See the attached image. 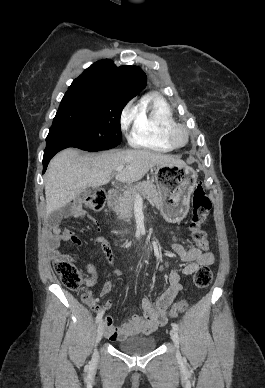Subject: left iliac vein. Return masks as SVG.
<instances>
[{"mask_svg":"<svg viewBox=\"0 0 265 388\" xmlns=\"http://www.w3.org/2000/svg\"><path fill=\"white\" fill-rule=\"evenodd\" d=\"M170 336H171V339L175 345V348L177 349V356H179V352H178V347H179V335H178V332L175 330V329H171L170 330Z\"/></svg>","mask_w":265,"mask_h":388,"instance_id":"obj_1","label":"left iliac vein"}]
</instances>
